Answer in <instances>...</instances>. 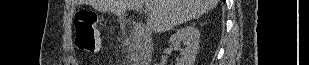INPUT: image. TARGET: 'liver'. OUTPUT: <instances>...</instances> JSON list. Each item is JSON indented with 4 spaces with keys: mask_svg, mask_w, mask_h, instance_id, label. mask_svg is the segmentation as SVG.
Returning <instances> with one entry per match:
<instances>
[{
    "mask_svg": "<svg viewBox=\"0 0 309 65\" xmlns=\"http://www.w3.org/2000/svg\"><path fill=\"white\" fill-rule=\"evenodd\" d=\"M144 1L148 2L150 10L147 24L158 33L198 18L218 3V0H91L90 4L99 11L121 16L127 10L139 11Z\"/></svg>",
    "mask_w": 309,
    "mask_h": 65,
    "instance_id": "6515ba94",
    "label": "liver"
}]
</instances>
